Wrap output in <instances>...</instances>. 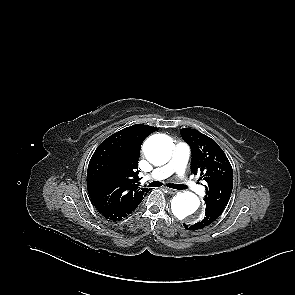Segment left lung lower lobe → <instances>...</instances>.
Masks as SVG:
<instances>
[{"instance_id":"0a47b994","label":"left lung lower lobe","mask_w":295,"mask_h":295,"mask_svg":"<svg viewBox=\"0 0 295 295\" xmlns=\"http://www.w3.org/2000/svg\"><path fill=\"white\" fill-rule=\"evenodd\" d=\"M224 209L225 207L210 204L206 207L205 217L201 221L190 226L184 224V226L188 230L202 229L214 222L222 214Z\"/></svg>"}]
</instances>
